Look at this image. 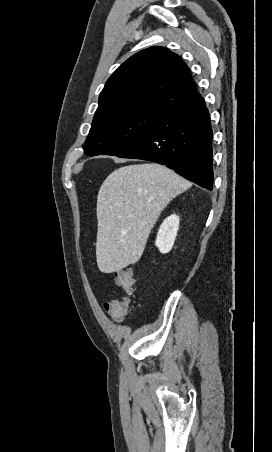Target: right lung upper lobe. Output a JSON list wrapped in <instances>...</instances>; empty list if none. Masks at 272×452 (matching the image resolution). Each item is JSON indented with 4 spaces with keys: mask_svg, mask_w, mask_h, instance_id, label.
<instances>
[{
    "mask_svg": "<svg viewBox=\"0 0 272 452\" xmlns=\"http://www.w3.org/2000/svg\"><path fill=\"white\" fill-rule=\"evenodd\" d=\"M197 93L188 66L153 46L131 56L107 80L94 119L129 110L169 113Z\"/></svg>",
    "mask_w": 272,
    "mask_h": 452,
    "instance_id": "obj_1",
    "label": "right lung upper lobe"
}]
</instances>
